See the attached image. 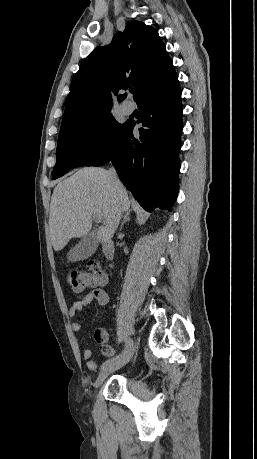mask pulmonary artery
<instances>
[{
  "instance_id": "1",
  "label": "pulmonary artery",
  "mask_w": 257,
  "mask_h": 459,
  "mask_svg": "<svg viewBox=\"0 0 257 459\" xmlns=\"http://www.w3.org/2000/svg\"><path fill=\"white\" fill-rule=\"evenodd\" d=\"M134 108H135V105L131 101H125L121 105V109L126 115L131 114L134 111Z\"/></svg>"
}]
</instances>
